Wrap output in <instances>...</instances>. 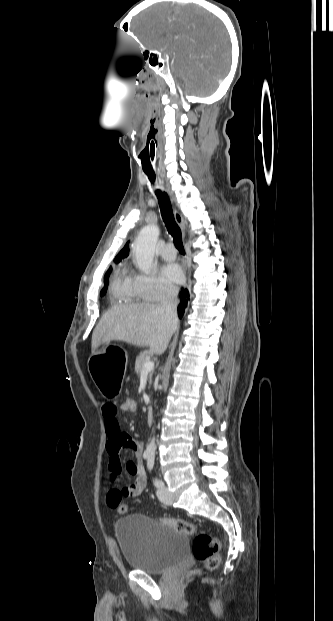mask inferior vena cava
Segmentation results:
<instances>
[{
    "label": "inferior vena cava",
    "mask_w": 333,
    "mask_h": 621,
    "mask_svg": "<svg viewBox=\"0 0 333 621\" xmlns=\"http://www.w3.org/2000/svg\"><path fill=\"white\" fill-rule=\"evenodd\" d=\"M178 288H170L166 291L165 296L161 302V309L165 312L168 321L172 324V327H176L178 323L177 317V305L179 300L178 296Z\"/></svg>",
    "instance_id": "1"
}]
</instances>
